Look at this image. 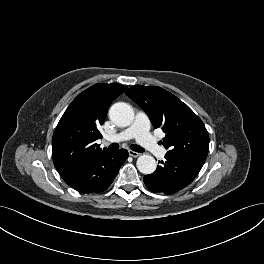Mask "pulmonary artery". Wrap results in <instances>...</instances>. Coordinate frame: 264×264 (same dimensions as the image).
<instances>
[{"mask_svg": "<svg viewBox=\"0 0 264 264\" xmlns=\"http://www.w3.org/2000/svg\"><path fill=\"white\" fill-rule=\"evenodd\" d=\"M149 127L150 122L147 115L143 112H138L131 126L115 135L108 136L107 140L110 142H121L134 138L147 151L158 158H162L166 154V150L157 144L149 132Z\"/></svg>", "mask_w": 264, "mask_h": 264, "instance_id": "e3ab8cb5", "label": "pulmonary artery"}]
</instances>
